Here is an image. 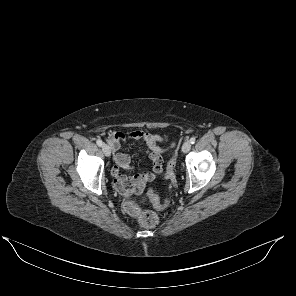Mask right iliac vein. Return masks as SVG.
<instances>
[{
	"label": "right iliac vein",
	"instance_id": "63e3f726",
	"mask_svg": "<svg viewBox=\"0 0 296 296\" xmlns=\"http://www.w3.org/2000/svg\"><path fill=\"white\" fill-rule=\"evenodd\" d=\"M102 150H103L104 154H105L107 157L110 156V154H111V149H110V146H109V145H107V144H103V145H102Z\"/></svg>",
	"mask_w": 296,
	"mask_h": 296
}]
</instances>
